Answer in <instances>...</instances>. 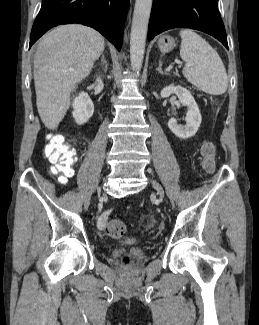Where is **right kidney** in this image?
<instances>
[{"instance_id":"ca27d5eb","label":"right kidney","mask_w":259,"mask_h":325,"mask_svg":"<svg viewBox=\"0 0 259 325\" xmlns=\"http://www.w3.org/2000/svg\"><path fill=\"white\" fill-rule=\"evenodd\" d=\"M73 118L78 125L86 123L94 113V105L87 93L81 92L73 100Z\"/></svg>"}]
</instances>
